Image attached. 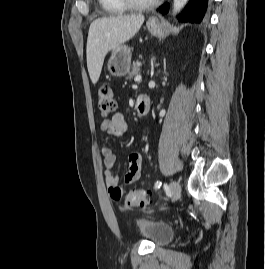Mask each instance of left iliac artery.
<instances>
[{
	"label": "left iliac artery",
	"instance_id": "obj_1",
	"mask_svg": "<svg viewBox=\"0 0 265 269\" xmlns=\"http://www.w3.org/2000/svg\"><path fill=\"white\" fill-rule=\"evenodd\" d=\"M161 185H162V182L161 181H157L156 183H155V189H159L160 187H161Z\"/></svg>",
	"mask_w": 265,
	"mask_h": 269
}]
</instances>
